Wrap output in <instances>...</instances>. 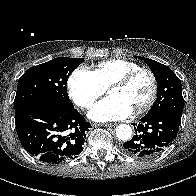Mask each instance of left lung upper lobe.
I'll use <instances>...</instances> for the list:
<instances>
[{
  "instance_id": "5c2ea615",
  "label": "left lung upper lobe",
  "mask_w": 196,
  "mask_h": 196,
  "mask_svg": "<svg viewBox=\"0 0 196 196\" xmlns=\"http://www.w3.org/2000/svg\"><path fill=\"white\" fill-rule=\"evenodd\" d=\"M135 57L147 62L157 81V99L148 113L167 111L182 116L184 102L179 78L166 65L148 58Z\"/></svg>"
}]
</instances>
